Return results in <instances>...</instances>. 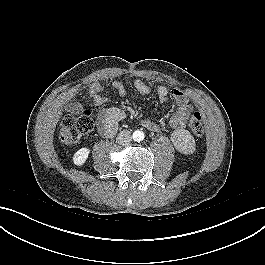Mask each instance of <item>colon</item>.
<instances>
[{"instance_id":"colon-1","label":"colon","mask_w":265,"mask_h":265,"mask_svg":"<svg viewBox=\"0 0 265 265\" xmlns=\"http://www.w3.org/2000/svg\"><path fill=\"white\" fill-rule=\"evenodd\" d=\"M190 130L196 136H201L204 133L203 116L199 111H193L188 120ZM94 120L89 111H83L78 116H65L59 128V140L63 144H76L83 135L93 129Z\"/></svg>"}]
</instances>
